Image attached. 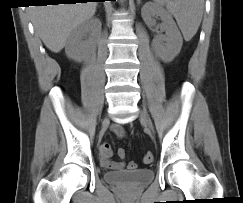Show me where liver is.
<instances>
[{"label": "liver", "instance_id": "6515ba94", "mask_svg": "<svg viewBox=\"0 0 243 203\" xmlns=\"http://www.w3.org/2000/svg\"><path fill=\"white\" fill-rule=\"evenodd\" d=\"M97 2L33 6L32 21L36 33L52 52H60L71 32L96 12Z\"/></svg>", "mask_w": 243, "mask_h": 203}]
</instances>
